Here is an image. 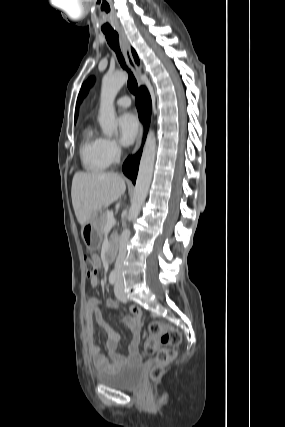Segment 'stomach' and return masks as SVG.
Instances as JSON below:
<instances>
[{
	"mask_svg": "<svg viewBox=\"0 0 285 427\" xmlns=\"http://www.w3.org/2000/svg\"><path fill=\"white\" fill-rule=\"evenodd\" d=\"M100 214L101 210L94 212L91 215L89 221L82 227L81 230L82 238L86 246L91 250L98 249L101 244L102 233L98 227Z\"/></svg>",
	"mask_w": 285,
	"mask_h": 427,
	"instance_id": "obj_1",
	"label": "stomach"
}]
</instances>
